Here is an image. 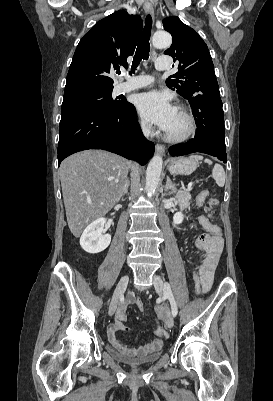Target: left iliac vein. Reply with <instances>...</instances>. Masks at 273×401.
Returning <instances> with one entry per match:
<instances>
[{"mask_svg": "<svg viewBox=\"0 0 273 401\" xmlns=\"http://www.w3.org/2000/svg\"><path fill=\"white\" fill-rule=\"evenodd\" d=\"M154 288L157 291L158 294L163 295L164 293V286H163V280L159 275H155L154 278ZM165 324L167 328H172L174 325V317L171 312V309L167 306L166 308V313H165Z\"/></svg>", "mask_w": 273, "mask_h": 401, "instance_id": "4c4485c4", "label": "left iliac vein"}]
</instances>
